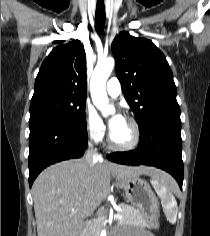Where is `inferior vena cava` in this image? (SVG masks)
I'll use <instances>...</instances> for the list:
<instances>
[{
    "instance_id": "obj_1",
    "label": "inferior vena cava",
    "mask_w": 210,
    "mask_h": 236,
    "mask_svg": "<svg viewBox=\"0 0 210 236\" xmlns=\"http://www.w3.org/2000/svg\"><path fill=\"white\" fill-rule=\"evenodd\" d=\"M85 158H86L88 165H92L98 159V153H97L96 149L93 148L92 144L89 145V149L86 153Z\"/></svg>"
}]
</instances>
